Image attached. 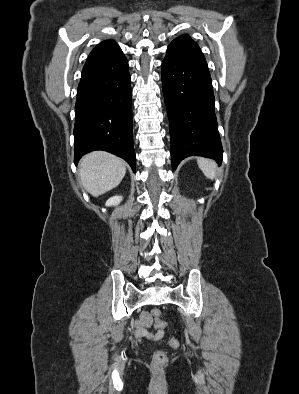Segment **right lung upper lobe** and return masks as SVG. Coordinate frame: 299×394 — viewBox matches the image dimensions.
Segmentation results:
<instances>
[{
  "label": "right lung upper lobe",
  "mask_w": 299,
  "mask_h": 394,
  "mask_svg": "<svg viewBox=\"0 0 299 394\" xmlns=\"http://www.w3.org/2000/svg\"><path fill=\"white\" fill-rule=\"evenodd\" d=\"M123 53L118 44L113 40H107L98 44L89 54L86 63L122 56Z\"/></svg>",
  "instance_id": "1"
}]
</instances>
